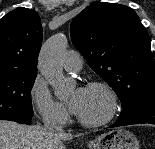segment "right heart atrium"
<instances>
[{"instance_id":"d8ad5b80","label":"right heart atrium","mask_w":155,"mask_h":149,"mask_svg":"<svg viewBox=\"0 0 155 149\" xmlns=\"http://www.w3.org/2000/svg\"><path fill=\"white\" fill-rule=\"evenodd\" d=\"M30 97L34 107L42 120L46 123L63 126L68 121V112L65 107L56 102L40 77H37L30 89Z\"/></svg>"}]
</instances>
